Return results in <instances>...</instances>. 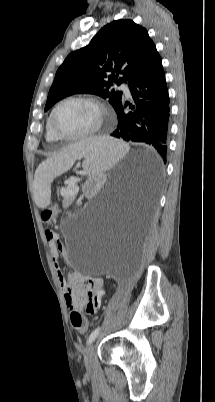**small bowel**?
<instances>
[{
	"label": "small bowel",
	"mask_w": 215,
	"mask_h": 402,
	"mask_svg": "<svg viewBox=\"0 0 215 402\" xmlns=\"http://www.w3.org/2000/svg\"><path fill=\"white\" fill-rule=\"evenodd\" d=\"M45 237L56 266L67 307L71 310L87 311V306L91 303L94 306V312L92 313H95L105 295L104 281L101 278L83 276L79 272H72L68 278H65L58 265L59 257L66 254L60 236L55 230L47 229Z\"/></svg>",
	"instance_id": "c3829d8e"
}]
</instances>
